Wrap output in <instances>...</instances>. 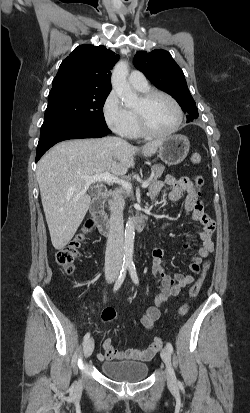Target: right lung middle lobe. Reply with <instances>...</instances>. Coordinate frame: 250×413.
<instances>
[{
	"label": "right lung middle lobe",
	"mask_w": 250,
	"mask_h": 413,
	"mask_svg": "<svg viewBox=\"0 0 250 413\" xmlns=\"http://www.w3.org/2000/svg\"><path fill=\"white\" fill-rule=\"evenodd\" d=\"M109 93L76 85L51 89L40 137L70 125L107 127L103 106Z\"/></svg>",
	"instance_id": "dd1d6c3e"
}]
</instances>
